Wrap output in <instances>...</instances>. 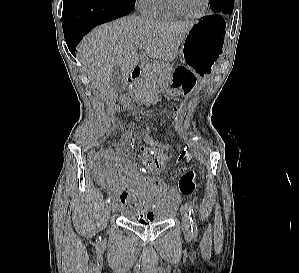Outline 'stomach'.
Instances as JSON below:
<instances>
[{
    "label": "stomach",
    "mask_w": 299,
    "mask_h": 273,
    "mask_svg": "<svg viewBox=\"0 0 299 273\" xmlns=\"http://www.w3.org/2000/svg\"><path fill=\"white\" fill-rule=\"evenodd\" d=\"M226 21L210 15L197 21L187 33L182 53L187 67H174V75L166 76L161 86L168 94L188 95L199 88L201 76L216 74L223 52Z\"/></svg>",
    "instance_id": "0dacf381"
}]
</instances>
